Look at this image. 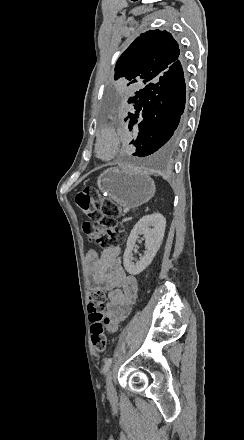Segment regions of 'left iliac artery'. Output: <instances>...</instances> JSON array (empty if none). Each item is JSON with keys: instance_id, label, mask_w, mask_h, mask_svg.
Wrapping results in <instances>:
<instances>
[{"instance_id": "1", "label": "left iliac artery", "mask_w": 244, "mask_h": 440, "mask_svg": "<svg viewBox=\"0 0 244 440\" xmlns=\"http://www.w3.org/2000/svg\"><path fill=\"white\" fill-rule=\"evenodd\" d=\"M111 363H112V358H110V357L107 358L106 361H105L104 367H103L104 374H106L107 371L109 370V368L111 366Z\"/></svg>"}]
</instances>
